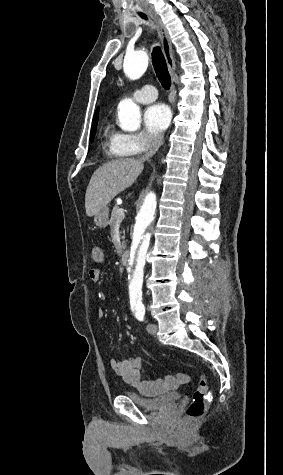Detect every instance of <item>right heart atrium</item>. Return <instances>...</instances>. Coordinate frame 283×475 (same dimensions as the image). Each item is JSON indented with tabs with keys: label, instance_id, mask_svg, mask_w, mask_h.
I'll return each instance as SVG.
<instances>
[{
	"label": "right heart atrium",
	"instance_id": "1",
	"mask_svg": "<svg viewBox=\"0 0 283 475\" xmlns=\"http://www.w3.org/2000/svg\"><path fill=\"white\" fill-rule=\"evenodd\" d=\"M161 145V138L147 132L121 133L114 142V150L118 157L127 158V155H146L157 150Z\"/></svg>",
	"mask_w": 283,
	"mask_h": 475
}]
</instances>
